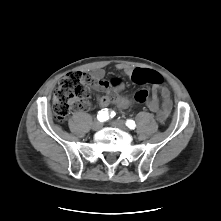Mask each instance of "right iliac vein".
I'll list each match as a JSON object with an SVG mask.
<instances>
[{"label":"right iliac vein","instance_id":"63e3f726","mask_svg":"<svg viewBox=\"0 0 221 221\" xmlns=\"http://www.w3.org/2000/svg\"><path fill=\"white\" fill-rule=\"evenodd\" d=\"M102 127H103V124H102L100 121H98V120L94 121L93 124H92V129H93L94 131H98V130H100Z\"/></svg>","mask_w":221,"mask_h":221}]
</instances>
